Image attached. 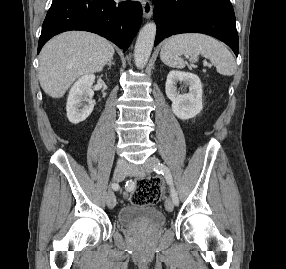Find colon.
Returning a JSON list of instances; mask_svg holds the SVG:
<instances>
[{"instance_id":"1","label":"colon","mask_w":286,"mask_h":269,"mask_svg":"<svg viewBox=\"0 0 286 269\" xmlns=\"http://www.w3.org/2000/svg\"><path fill=\"white\" fill-rule=\"evenodd\" d=\"M160 181L156 178H142L137 181L136 190L129 196L132 203L153 205L160 196Z\"/></svg>"}]
</instances>
